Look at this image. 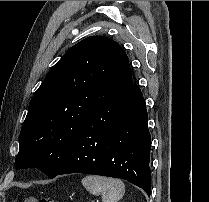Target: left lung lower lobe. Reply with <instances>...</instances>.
<instances>
[{
    "label": "left lung lower lobe",
    "instance_id": "left-lung-lower-lobe-1",
    "mask_svg": "<svg viewBox=\"0 0 209 202\" xmlns=\"http://www.w3.org/2000/svg\"><path fill=\"white\" fill-rule=\"evenodd\" d=\"M148 115L136 84L103 104L84 121L60 169L50 178L86 173L125 179L151 194Z\"/></svg>",
    "mask_w": 209,
    "mask_h": 202
}]
</instances>
